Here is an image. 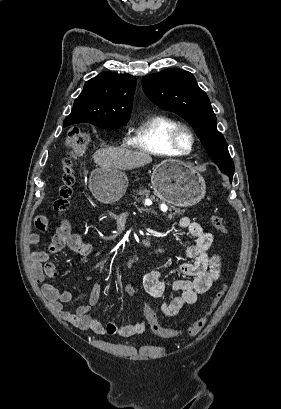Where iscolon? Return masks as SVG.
I'll list each match as a JSON object with an SVG mask.
<instances>
[{"label":"colon","mask_w":281,"mask_h":409,"mask_svg":"<svg viewBox=\"0 0 281 409\" xmlns=\"http://www.w3.org/2000/svg\"><path fill=\"white\" fill-rule=\"evenodd\" d=\"M89 143V136L79 128H74L70 131L66 140V154L62 160V185L59 188V199L55 202V209L60 213H65L69 207V198L72 192L74 177L72 173V165L76 158L82 156ZM213 226L221 233H226L227 228L222 217L218 215L212 216ZM206 325V317L192 323L187 329H181V334L194 335L199 333ZM151 330L160 337H169L174 333L173 329H164L159 324L153 323ZM176 332V331H175Z\"/></svg>","instance_id":"1"}]
</instances>
